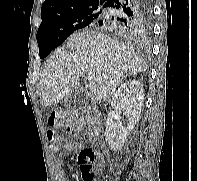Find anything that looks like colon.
Masks as SVG:
<instances>
[{"label": "colon", "mask_w": 197, "mask_h": 181, "mask_svg": "<svg viewBox=\"0 0 197 181\" xmlns=\"http://www.w3.org/2000/svg\"><path fill=\"white\" fill-rule=\"evenodd\" d=\"M48 124L46 136L53 150H58L62 142L61 137L57 134L56 126L65 127L72 132H78L81 128L78 115L61 112L52 113L48 118ZM78 162L83 181H94L95 166L101 163V159L93 150L82 149L78 155Z\"/></svg>", "instance_id": "obj_1"}]
</instances>
